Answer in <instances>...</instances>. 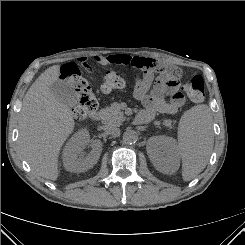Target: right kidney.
Returning <instances> with one entry per match:
<instances>
[{
  "label": "right kidney",
  "instance_id": "obj_1",
  "mask_svg": "<svg viewBox=\"0 0 245 245\" xmlns=\"http://www.w3.org/2000/svg\"><path fill=\"white\" fill-rule=\"evenodd\" d=\"M87 145L91 146V151L84 154L82 151ZM101 152L102 142L90 140L89 132L82 129L76 132L64 147L62 154L64 167L70 172L87 171L98 162Z\"/></svg>",
  "mask_w": 245,
  "mask_h": 245
}]
</instances>
